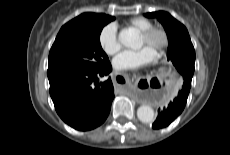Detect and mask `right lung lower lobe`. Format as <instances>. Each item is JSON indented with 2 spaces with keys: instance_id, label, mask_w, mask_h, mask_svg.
I'll list each match as a JSON object with an SVG mask.
<instances>
[{
  "instance_id": "obj_1",
  "label": "right lung lower lobe",
  "mask_w": 230,
  "mask_h": 155,
  "mask_svg": "<svg viewBox=\"0 0 230 155\" xmlns=\"http://www.w3.org/2000/svg\"><path fill=\"white\" fill-rule=\"evenodd\" d=\"M112 66L97 69H62L48 72L50 95L61 119L80 131L100 126L114 98L111 79L99 83Z\"/></svg>"
}]
</instances>
